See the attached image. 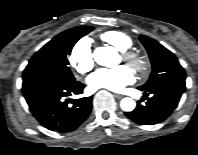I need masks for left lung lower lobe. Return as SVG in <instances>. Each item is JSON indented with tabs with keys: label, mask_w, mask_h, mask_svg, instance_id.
<instances>
[{
	"label": "left lung lower lobe",
	"mask_w": 198,
	"mask_h": 155,
	"mask_svg": "<svg viewBox=\"0 0 198 155\" xmlns=\"http://www.w3.org/2000/svg\"><path fill=\"white\" fill-rule=\"evenodd\" d=\"M185 88V86L177 84H164L151 90L139 89L145 91L144 99L149 94H151V98L147 100L145 105L138 101L137 108L125 114L138 124L154 125L160 123L168 118L177 107Z\"/></svg>",
	"instance_id": "1"
}]
</instances>
